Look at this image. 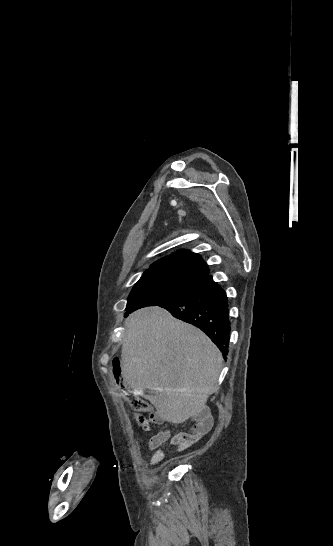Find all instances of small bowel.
Here are the masks:
<instances>
[{"instance_id":"c3829d8e","label":"small bowel","mask_w":333,"mask_h":546,"mask_svg":"<svg viewBox=\"0 0 333 546\" xmlns=\"http://www.w3.org/2000/svg\"><path fill=\"white\" fill-rule=\"evenodd\" d=\"M154 423H162L165 418L160 413H155L152 416ZM211 428V418L200 417L192 428L191 433H178L172 435L170 431H161L152 436L148 442V449L154 451L151 456L150 464H158L165 455V450L161 447L168 443L169 446H176L178 450H185L190 445L197 442Z\"/></svg>"}]
</instances>
